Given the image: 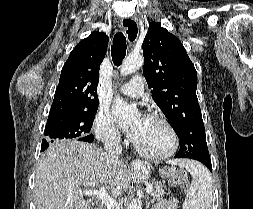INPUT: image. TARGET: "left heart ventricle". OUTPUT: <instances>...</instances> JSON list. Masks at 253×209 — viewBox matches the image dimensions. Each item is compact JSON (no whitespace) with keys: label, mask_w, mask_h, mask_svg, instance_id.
<instances>
[{"label":"left heart ventricle","mask_w":253,"mask_h":209,"mask_svg":"<svg viewBox=\"0 0 253 209\" xmlns=\"http://www.w3.org/2000/svg\"><path fill=\"white\" fill-rule=\"evenodd\" d=\"M139 121L140 120L135 121L133 126L138 125ZM135 142L143 150L149 153L159 154L169 149L171 145V136L163 123L148 117Z\"/></svg>","instance_id":"b2bd125f"}]
</instances>
